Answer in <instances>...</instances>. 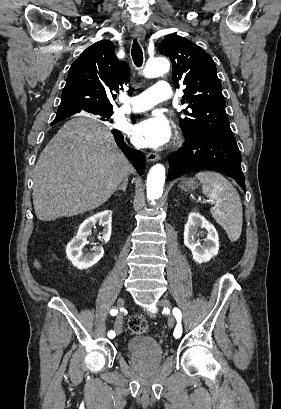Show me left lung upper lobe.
I'll list each match as a JSON object with an SVG mask.
<instances>
[{"label": "left lung upper lobe", "mask_w": 281, "mask_h": 409, "mask_svg": "<svg viewBox=\"0 0 281 409\" xmlns=\"http://www.w3.org/2000/svg\"><path fill=\"white\" fill-rule=\"evenodd\" d=\"M161 54L172 62L175 87L184 86L181 100L189 111L183 110L180 126L186 138L199 133L234 138L225 112V99L211 56L190 40L171 35L160 44Z\"/></svg>", "instance_id": "obj_1"}]
</instances>
